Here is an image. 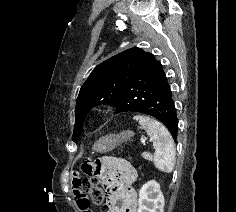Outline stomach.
Returning <instances> with one entry per match:
<instances>
[{
  "instance_id": "1",
  "label": "stomach",
  "mask_w": 236,
  "mask_h": 212,
  "mask_svg": "<svg viewBox=\"0 0 236 212\" xmlns=\"http://www.w3.org/2000/svg\"><path fill=\"white\" fill-rule=\"evenodd\" d=\"M134 136L133 131H123L117 135H106L101 137L93 146V149L97 152H108L113 150L121 143L127 142Z\"/></svg>"
}]
</instances>
